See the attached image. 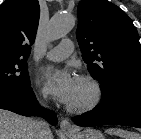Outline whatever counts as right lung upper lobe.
<instances>
[{"label":"right lung upper lobe","instance_id":"right-lung-upper-lobe-1","mask_svg":"<svg viewBox=\"0 0 141 139\" xmlns=\"http://www.w3.org/2000/svg\"><path fill=\"white\" fill-rule=\"evenodd\" d=\"M38 0H6L0 5V57H27L34 43Z\"/></svg>","mask_w":141,"mask_h":139}]
</instances>
